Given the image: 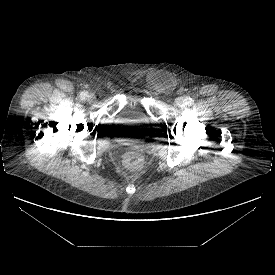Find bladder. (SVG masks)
<instances>
[{
	"label": "bladder",
	"mask_w": 275,
	"mask_h": 275,
	"mask_svg": "<svg viewBox=\"0 0 275 275\" xmlns=\"http://www.w3.org/2000/svg\"><path fill=\"white\" fill-rule=\"evenodd\" d=\"M113 123L115 126H118V127L145 128L149 125V119L146 117L131 119L121 114H117L113 118Z\"/></svg>",
	"instance_id": "31cf9c89"
}]
</instances>
